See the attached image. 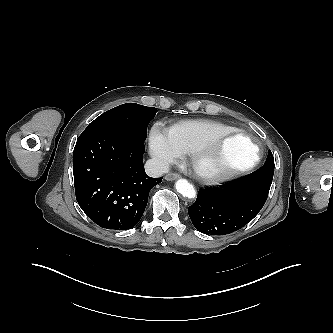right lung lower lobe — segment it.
<instances>
[{
	"mask_svg": "<svg viewBox=\"0 0 333 333\" xmlns=\"http://www.w3.org/2000/svg\"><path fill=\"white\" fill-rule=\"evenodd\" d=\"M144 140L113 132H87L74 148L76 199L102 228L126 230L141 219L150 189L162 181L144 170Z\"/></svg>",
	"mask_w": 333,
	"mask_h": 333,
	"instance_id": "obj_1",
	"label": "right lung lower lobe"
}]
</instances>
